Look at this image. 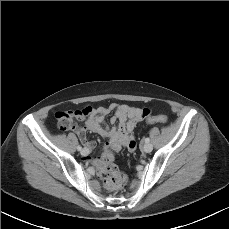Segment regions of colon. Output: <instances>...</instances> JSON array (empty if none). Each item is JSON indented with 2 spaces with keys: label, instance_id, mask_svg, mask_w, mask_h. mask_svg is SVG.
<instances>
[{
  "label": "colon",
  "instance_id": "5ec220e1",
  "mask_svg": "<svg viewBox=\"0 0 229 229\" xmlns=\"http://www.w3.org/2000/svg\"><path fill=\"white\" fill-rule=\"evenodd\" d=\"M150 110L148 108L141 109V117L147 118L149 123H164L167 121V116L156 115L149 117ZM75 112H66L59 115V123L61 130L73 129L76 127ZM100 176L104 181L106 188L109 191L116 192L125 187L127 184V175L120 171L117 166L112 162V155L106 152L103 157V164L100 171Z\"/></svg>",
  "mask_w": 229,
  "mask_h": 229
}]
</instances>
